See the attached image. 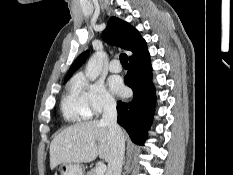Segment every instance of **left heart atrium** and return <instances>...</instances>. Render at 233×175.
<instances>
[{
    "instance_id": "1",
    "label": "left heart atrium",
    "mask_w": 233,
    "mask_h": 175,
    "mask_svg": "<svg viewBox=\"0 0 233 175\" xmlns=\"http://www.w3.org/2000/svg\"><path fill=\"white\" fill-rule=\"evenodd\" d=\"M110 87L114 93L117 95L123 96L125 94V87L121 81L117 79H112L110 81Z\"/></svg>"
}]
</instances>
